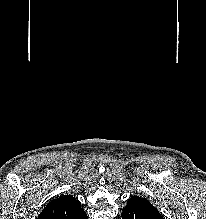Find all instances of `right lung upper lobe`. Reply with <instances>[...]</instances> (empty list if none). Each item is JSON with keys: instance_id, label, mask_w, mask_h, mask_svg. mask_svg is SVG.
<instances>
[{"instance_id": "obj_1", "label": "right lung upper lobe", "mask_w": 206, "mask_h": 219, "mask_svg": "<svg viewBox=\"0 0 206 219\" xmlns=\"http://www.w3.org/2000/svg\"><path fill=\"white\" fill-rule=\"evenodd\" d=\"M38 219H88L80 202L71 195L60 196L47 204Z\"/></svg>"}]
</instances>
